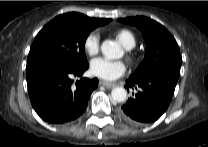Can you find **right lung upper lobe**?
Returning <instances> with one entry per match:
<instances>
[{
    "mask_svg": "<svg viewBox=\"0 0 208 147\" xmlns=\"http://www.w3.org/2000/svg\"><path fill=\"white\" fill-rule=\"evenodd\" d=\"M57 17L58 18H61V17L74 18V19H78V20L86 22V23L99 25V26L104 25L110 21V19H105V18H90L88 16H85L83 14L76 13V12L61 14Z\"/></svg>",
    "mask_w": 208,
    "mask_h": 147,
    "instance_id": "obj_1",
    "label": "right lung upper lobe"
}]
</instances>
